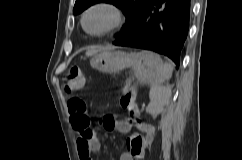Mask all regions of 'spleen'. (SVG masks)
I'll return each mask as SVG.
<instances>
[{
    "label": "spleen",
    "instance_id": "obj_1",
    "mask_svg": "<svg viewBox=\"0 0 242 160\" xmlns=\"http://www.w3.org/2000/svg\"><path fill=\"white\" fill-rule=\"evenodd\" d=\"M152 78L150 89V104L147 111L155 114L162 109L165 102H168L171 96V89L169 86L163 85L166 80H169L172 76L173 67L164 63L159 55L150 53Z\"/></svg>",
    "mask_w": 242,
    "mask_h": 160
}]
</instances>
